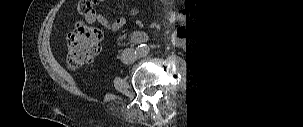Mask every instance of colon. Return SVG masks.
I'll return each instance as SVG.
<instances>
[{
	"label": "colon",
	"mask_w": 303,
	"mask_h": 127,
	"mask_svg": "<svg viewBox=\"0 0 303 127\" xmlns=\"http://www.w3.org/2000/svg\"><path fill=\"white\" fill-rule=\"evenodd\" d=\"M94 0H81L78 4V12L89 15L94 12ZM102 34L92 26L84 22H78L67 36L68 56L67 64L71 69H76L90 62L100 51ZM220 58L227 57V50H218Z\"/></svg>",
	"instance_id": "5ec220e1"
}]
</instances>
